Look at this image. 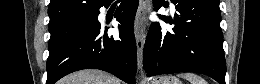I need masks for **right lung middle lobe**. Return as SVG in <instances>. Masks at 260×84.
<instances>
[{
    "mask_svg": "<svg viewBox=\"0 0 260 84\" xmlns=\"http://www.w3.org/2000/svg\"><path fill=\"white\" fill-rule=\"evenodd\" d=\"M98 24V12H96L81 16L58 27L49 28L51 33L49 40V52L54 50L69 36L82 30L92 29Z\"/></svg>",
    "mask_w": 260,
    "mask_h": 84,
    "instance_id": "right-lung-middle-lobe-1",
    "label": "right lung middle lobe"
}]
</instances>
